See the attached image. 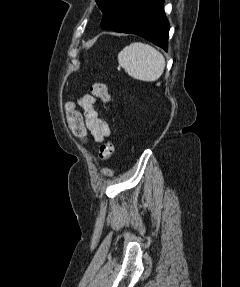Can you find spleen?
Instances as JSON below:
<instances>
[{"label": "spleen", "mask_w": 240, "mask_h": 287, "mask_svg": "<svg viewBox=\"0 0 240 287\" xmlns=\"http://www.w3.org/2000/svg\"><path fill=\"white\" fill-rule=\"evenodd\" d=\"M119 65L134 79L153 82L160 78L165 68L164 56L154 47L133 42L118 53Z\"/></svg>", "instance_id": "3e777b00"}]
</instances>
